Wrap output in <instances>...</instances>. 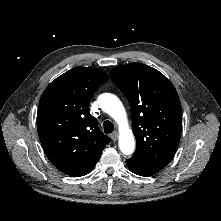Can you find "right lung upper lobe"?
<instances>
[{
  "mask_svg": "<svg viewBox=\"0 0 221 221\" xmlns=\"http://www.w3.org/2000/svg\"><path fill=\"white\" fill-rule=\"evenodd\" d=\"M107 80L100 70L75 67L52 81L40 98V142L51 163L67 175L89 173L110 142L89 113L93 94Z\"/></svg>",
  "mask_w": 221,
  "mask_h": 221,
  "instance_id": "right-lung-upper-lobe-1",
  "label": "right lung upper lobe"
}]
</instances>
